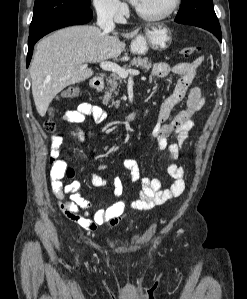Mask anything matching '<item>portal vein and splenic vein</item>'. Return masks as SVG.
I'll return each instance as SVG.
<instances>
[{
    "label": "portal vein and splenic vein",
    "mask_w": 247,
    "mask_h": 299,
    "mask_svg": "<svg viewBox=\"0 0 247 299\" xmlns=\"http://www.w3.org/2000/svg\"><path fill=\"white\" fill-rule=\"evenodd\" d=\"M87 64L83 65L81 68H86ZM100 67L105 70V71H111L113 73L118 74L121 78L126 79L128 75H139L138 70H126L122 68L120 65L113 63V62H108V61H103L100 63Z\"/></svg>",
    "instance_id": "obj_1"
}]
</instances>
